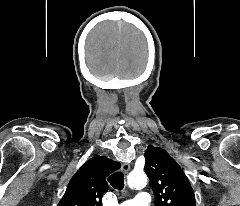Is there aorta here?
I'll list each match as a JSON object with an SVG mask.
<instances>
[{"mask_svg": "<svg viewBox=\"0 0 240 206\" xmlns=\"http://www.w3.org/2000/svg\"><path fill=\"white\" fill-rule=\"evenodd\" d=\"M127 183L131 189L142 188L147 183V176L142 171H132L127 178Z\"/></svg>", "mask_w": 240, "mask_h": 206, "instance_id": "762f6f07", "label": "aorta"}]
</instances>
